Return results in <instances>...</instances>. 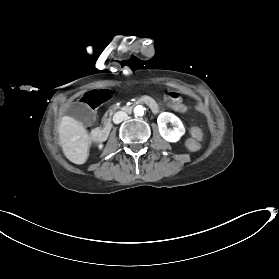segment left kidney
Returning a JSON list of instances; mask_svg holds the SVG:
<instances>
[{"label": "left kidney", "mask_w": 279, "mask_h": 279, "mask_svg": "<svg viewBox=\"0 0 279 279\" xmlns=\"http://www.w3.org/2000/svg\"><path fill=\"white\" fill-rule=\"evenodd\" d=\"M171 122L173 130H168L166 123ZM158 129L161 137L167 142L176 143L185 134V127L182 121L173 113L162 112L157 118Z\"/></svg>", "instance_id": "obj_1"}]
</instances>
